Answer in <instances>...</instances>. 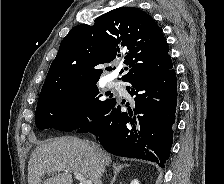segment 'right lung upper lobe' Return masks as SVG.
<instances>
[{"label": "right lung upper lobe", "instance_id": "right-lung-upper-lobe-1", "mask_svg": "<svg viewBox=\"0 0 224 184\" xmlns=\"http://www.w3.org/2000/svg\"><path fill=\"white\" fill-rule=\"evenodd\" d=\"M168 44L153 18L135 7L111 10L72 28L62 40L38 102L76 84L97 82L101 64L122 59V81L172 66ZM108 69V68H106ZM122 72V71H121Z\"/></svg>", "mask_w": 224, "mask_h": 184}]
</instances>
